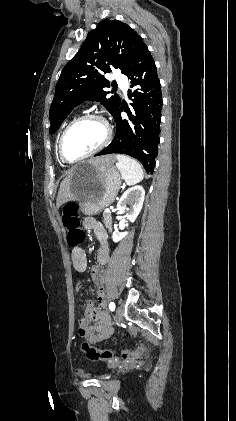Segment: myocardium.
Returning a JSON list of instances; mask_svg holds the SVG:
<instances>
[{"instance_id":"f54148a6","label":"myocardium","mask_w":236,"mask_h":421,"mask_svg":"<svg viewBox=\"0 0 236 421\" xmlns=\"http://www.w3.org/2000/svg\"><path fill=\"white\" fill-rule=\"evenodd\" d=\"M86 120H96V121L101 122L105 127V137H104L103 141L96 148H94L93 150H91L87 154H85L81 157H78V158L70 159V158L67 157V155L65 153L66 136L69 133V131L75 125H77L80 122L86 121ZM112 134H113V132H112L111 125L106 120V118H104L103 116L98 115V114H86V115L80 116V117L76 118L75 120H73L72 122H70L68 124V126L64 129V131H63V133L60 137L59 146H58L60 158L64 163H68V164H73V163H76V162L81 161L83 159H86V158L100 152L101 150H103L110 143V141L112 139Z\"/></svg>"}]
</instances>
